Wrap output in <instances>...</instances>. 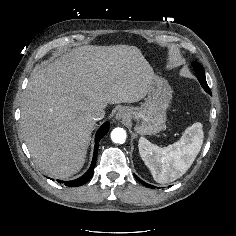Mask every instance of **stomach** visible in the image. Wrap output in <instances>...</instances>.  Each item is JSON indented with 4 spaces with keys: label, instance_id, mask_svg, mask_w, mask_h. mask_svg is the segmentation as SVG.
<instances>
[{
    "label": "stomach",
    "instance_id": "1",
    "mask_svg": "<svg viewBox=\"0 0 236 236\" xmlns=\"http://www.w3.org/2000/svg\"><path fill=\"white\" fill-rule=\"evenodd\" d=\"M172 98V89L167 80L154 75L147 97L140 107L131 108V117L137 121L134 129L140 135H155L166 123V110Z\"/></svg>",
    "mask_w": 236,
    "mask_h": 236
}]
</instances>
